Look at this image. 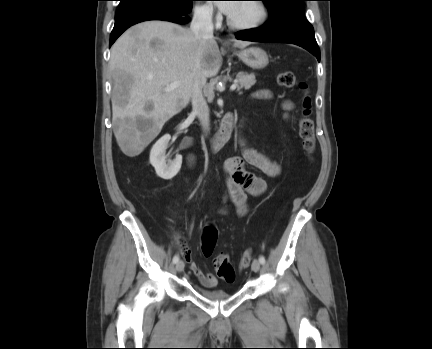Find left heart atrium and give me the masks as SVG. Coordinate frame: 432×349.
Masks as SVG:
<instances>
[{"label":"left heart atrium","instance_id":"left-heart-atrium-1","mask_svg":"<svg viewBox=\"0 0 432 349\" xmlns=\"http://www.w3.org/2000/svg\"><path fill=\"white\" fill-rule=\"evenodd\" d=\"M237 5L236 1H222L219 7L225 14L230 15L236 9Z\"/></svg>","mask_w":432,"mask_h":349}]
</instances>
